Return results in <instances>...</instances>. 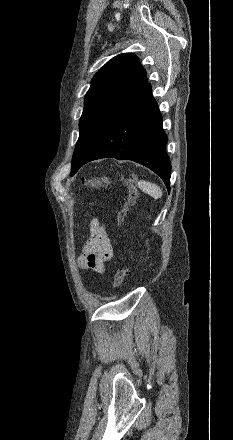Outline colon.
Segmentation results:
<instances>
[{
    "label": "colon",
    "mask_w": 233,
    "mask_h": 440,
    "mask_svg": "<svg viewBox=\"0 0 233 440\" xmlns=\"http://www.w3.org/2000/svg\"><path fill=\"white\" fill-rule=\"evenodd\" d=\"M115 183L121 184L127 187L129 190L128 199L117 214V225L119 228H122L126 214L130 211L139 198V190L135 185L133 177L127 174H121L115 179L106 175L82 179V185L91 188L106 187ZM126 274L127 271L124 268H119L116 271L113 278V288L121 287Z\"/></svg>",
    "instance_id": "1"
}]
</instances>
